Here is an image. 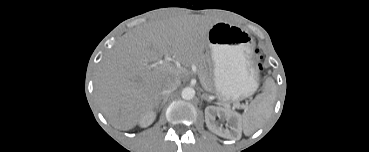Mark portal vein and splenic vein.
<instances>
[{
	"mask_svg": "<svg viewBox=\"0 0 369 152\" xmlns=\"http://www.w3.org/2000/svg\"><path fill=\"white\" fill-rule=\"evenodd\" d=\"M165 61H172V58H171V56H165Z\"/></svg>",
	"mask_w": 369,
	"mask_h": 152,
	"instance_id": "1",
	"label": "portal vein and splenic vein"
}]
</instances>
